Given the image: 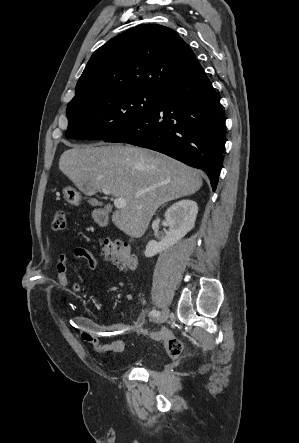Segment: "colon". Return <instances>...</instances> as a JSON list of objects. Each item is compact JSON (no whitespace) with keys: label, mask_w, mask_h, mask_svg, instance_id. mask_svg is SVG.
<instances>
[{"label":"colon","mask_w":299,"mask_h":443,"mask_svg":"<svg viewBox=\"0 0 299 443\" xmlns=\"http://www.w3.org/2000/svg\"><path fill=\"white\" fill-rule=\"evenodd\" d=\"M52 228L57 232L67 230V219L63 211L55 212ZM100 254L103 259L112 262L122 271L133 270L137 265V258L132 248L126 242L118 239H102ZM145 334L154 340L162 341L171 357L177 358L182 354L184 349L182 340L168 329L148 330L145 331Z\"/></svg>","instance_id":"obj_1"}]
</instances>
